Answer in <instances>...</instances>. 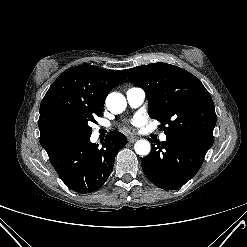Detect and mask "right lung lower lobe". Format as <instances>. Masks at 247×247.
<instances>
[{"label": "right lung lower lobe", "mask_w": 247, "mask_h": 247, "mask_svg": "<svg viewBox=\"0 0 247 247\" xmlns=\"http://www.w3.org/2000/svg\"><path fill=\"white\" fill-rule=\"evenodd\" d=\"M90 136L64 142L48 153L61 180L79 193L96 191L106 182L117 151L127 143L122 133L114 131L98 148L90 142Z\"/></svg>", "instance_id": "98d812e1"}]
</instances>
